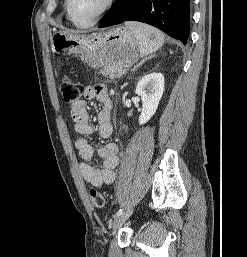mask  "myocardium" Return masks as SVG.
Listing matches in <instances>:
<instances>
[{"instance_id":"myocardium-1","label":"myocardium","mask_w":247,"mask_h":257,"mask_svg":"<svg viewBox=\"0 0 247 257\" xmlns=\"http://www.w3.org/2000/svg\"><path fill=\"white\" fill-rule=\"evenodd\" d=\"M70 2H71V0H65V9H66L68 19L76 27L90 28V27L94 26L98 21H100V19L111 9L115 0H105V3L103 5L102 9L97 13V15L90 22L85 23V24H81L73 18L71 11H70Z\"/></svg>"}]
</instances>
